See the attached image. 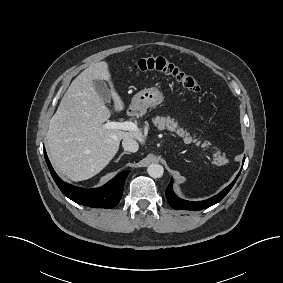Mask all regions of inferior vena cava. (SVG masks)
<instances>
[{"label":"inferior vena cava","mask_w":283,"mask_h":283,"mask_svg":"<svg viewBox=\"0 0 283 283\" xmlns=\"http://www.w3.org/2000/svg\"><path fill=\"white\" fill-rule=\"evenodd\" d=\"M122 146L129 152H137L139 148L137 141L133 138H124L122 141Z\"/></svg>","instance_id":"602c4592"}]
</instances>
